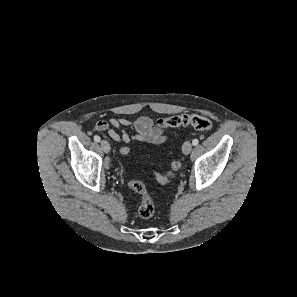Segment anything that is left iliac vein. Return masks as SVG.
Here are the masks:
<instances>
[{
	"label": "left iliac vein",
	"mask_w": 297,
	"mask_h": 297,
	"mask_svg": "<svg viewBox=\"0 0 297 297\" xmlns=\"http://www.w3.org/2000/svg\"><path fill=\"white\" fill-rule=\"evenodd\" d=\"M192 150V144L190 141H186L184 142L183 146H182V151L185 155H188Z\"/></svg>",
	"instance_id": "obj_1"
}]
</instances>
